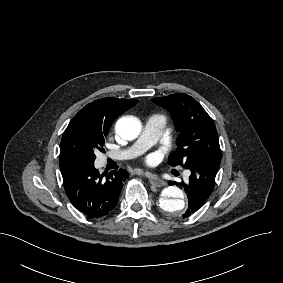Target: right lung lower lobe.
I'll list each match as a JSON object with an SVG mask.
<instances>
[{
	"label": "right lung lower lobe",
	"mask_w": 283,
	"mask_h": 283,
	"mask_svg": "<svg viewBox=\"0 0 283 283\" xmlns=\"http://www.w3.org/2000/svg\"><path fill=\"white\" fill-rule=\"evenodd\" d=\"M63 185L72 205L88 218H101L115 208L123 182L129 177L126 170L111 171L105 177L93 163H73L61 167Z\"/></svg>",
	"instance_id": "obj_1"
}]
</instances>
